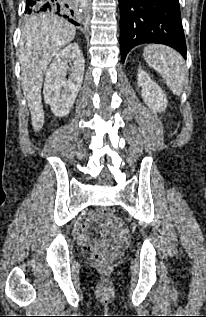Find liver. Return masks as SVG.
Segmentation results:
<instances>
[{
  "label": "liver",
  "mask_w": 206,
  "mask_h": 317,
  "mask_svg": "<svg viewBox=\"0 0 206 317\" xmlns=\"http://www.w3.org/2000/svg\"><path fill=\"white\" fill-rule=\"evenodd\" d=\"M75 27L54 14H39L22 27L19 45L21 84L31 112L34 130L44 124L41 88L44 74L52 58L74 39Z\"/></svg>",
  "instance_id": "6515ba94"
}]
</instances>
